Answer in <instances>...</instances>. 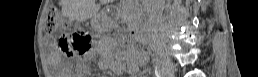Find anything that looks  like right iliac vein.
<instances>
[{"label":"right iliac vein","mask_w":258,"mask_h":77,"mask_svg":"<svg viewBox=\"0 0 258 77\" xmlns=\"http://www.w3.org/2000/svg\"><path fill=\"white\" fill-rule=\"evenodd\" d=\"M159 63L161 66V71L165 75L172 77L174 74V68H173V64H172L170 58L168 57V55L160 54L159 55Z\"/></svg>","instance_id":"63e3f726"}]
</instances>
